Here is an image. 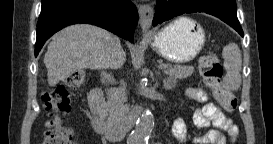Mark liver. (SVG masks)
<instances>
[{"instance_id": "liver-1", "label": "liver", "mask_w": 273, "mask_h": 144, "mask_svg": "<svg viewBox=\"0 0 273 144\" xmlns=\"http://www.w3.org/2000/svg\"><path fill=\"white\" fill-rule=\"evenodd\" d=\"M111 37L108 31L88 24L71 25L56 33L44 56L48 84L53 87L82 69L122 67L126 60L122 47L113 62L106 58Z\"/></svg>"}]
</instances>
